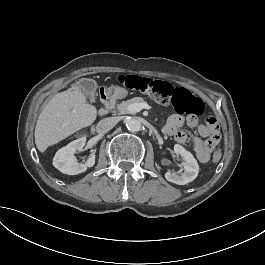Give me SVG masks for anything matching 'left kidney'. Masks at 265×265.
I'll return each instance as SVG.
<instances>
[{
    "mask_svg": "<svg viewBox=\"0 0 265 265\" xmlns=\"http://www.w3.org/2000/svg\"><path fill=\"white\" fill-rule=\"evenodd\" d=\"M174 153L181 155V157L184 159V162L182 163L184 166V172L181 174H177L175 172H166L165 178L169 182H173L178 185H185L197 177L199 165L194 156L179 144L174 145Z\"/></svg>",
    "mask_w": 265,
    "mask_h": 265,
    "instance_id": "1",
    "label": "left kidney"
}]
</instances>
